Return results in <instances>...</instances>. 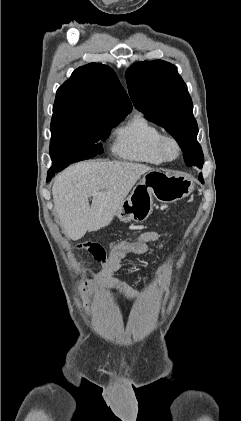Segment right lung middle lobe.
<instances>
[{
  "mask_svg": "<svg viewBox=\"0 0 241 421\" xmlns=\"http://www.w3.org/2000/svg\"><path fill=\"white\" fill-rule=\"evenodd\" d=\"M124 117H99L92 120L52 117L50 169H63L73 162L90 159L103 152L111 129Z\"/></svg>",
  "mask_w": 241,
  "mask_h": 421,
  "instance_id": "1",
  "label": "right lung middle lobe"
}]
</instances>
